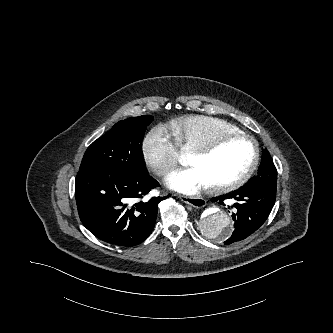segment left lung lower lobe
I'll return each mask as SVG.
<instances>
[{
	"label": "left lung lower lobe",
	"instance_id": "obj_1",
	"mask_svg": "<svg viewBox=\"0 0 333 333\" xmlns=\"http://www.w3.org/2000/svg\"><path fill=\"white\" fill-rule=\"evenodd\" d=\"M227 199L236 202L232 206L234 231L224 242L226 245L245 239L262 226L274 206L276 191L243 186L237 191L214 198L213 201L223 204Z\"/></svg>",
	"mask_w": 333,
	"mask_h": 333
}]
</instances>
